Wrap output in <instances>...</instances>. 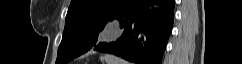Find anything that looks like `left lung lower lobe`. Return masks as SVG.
Here are the masks:
<instances>
[{"label": "left lung lower lobe", "mask_w": 242, "mask_h": 64, "mask_svg": "<svg viewBox=\"0 0 242 64\" xmlns=\"http://www.w3.org/2000/svg\"><path fill=\"white\" fill-rule=\"evenodd\" d=\"M174 11L175 0H130L113 19L123 29L121 36L93 49L136 64H162Z\"/></svg>", "instance_id": "1"}]
</instances>
